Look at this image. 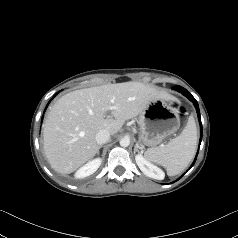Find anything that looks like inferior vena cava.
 <instances>
[{
    "label": "inferior vena cava",
    "mask_w": 238,
    "mask_h": 238,
    "mask_svg": "<svg viewBox=\"0 0 238 238\" xmlns=\"http://www.w3.org/2000/svg\"><path fill=\"white\" fill-rule=\"evenodd\" d=\"M109 139H110V132L106 129H102L96 134V141L98 144L107 143Z\"/></svg>",
    "instance_id": "602c4592"
}]
</instances>
